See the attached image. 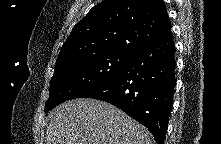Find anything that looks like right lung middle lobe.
<instances>
[{
    "mask_svg": "<svg viewBox=\"0 0 221 144\" xmlns=\"http://www.w3.org/2000/svg\"><path fill=\"white\" fill-rule=\"evenodd\" d=\"M132 56L122 51H108L56 67L50 82V97L44 111L48 112L66 100L81 97L109 80Z\"/></svg>",
    "mask_w": 221,
    "mask_h": 144,
    "instance_id": "dd1d6c3e",
    "label": "right lung middle lobe"
}]
</instances>
